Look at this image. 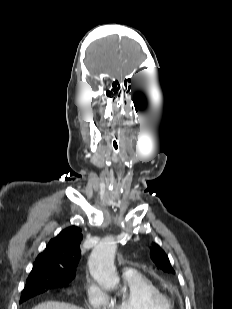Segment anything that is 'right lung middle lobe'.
Masks as SVG:
<instances>
[{
  "label": "right lung middle lobe",
  "mask_w": 232,
  "mask_h": 309,
  "mask_svg": "<svg viewBox=\"0 0 232 309\" xmlns=\"http://www.w3.org/2000/svg\"><path fill=\"white\" fill-rule=\"evenodd\" d=\"M71 280L67 277L54 276L45 273L29 276L21 295L20 303L57 286L68 285Z\"/></svg>",
  "instance_id": "obj_1"
}]
</instances>
